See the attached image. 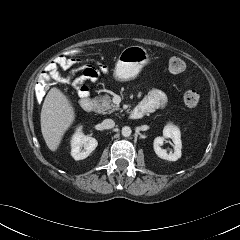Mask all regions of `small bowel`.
I'll use <instances>...</instances> for the list:
<instances>
[{
  "mask_svg": "<svg viewBox=\"0 0 240 240\" xmlns=\"http://www.w3.org/2000/svg\"><path fill=\"white\" fill-rule=\"evenodd\" d=\"M60 69H66V66L60 63L56 57L47 64L45 70L40 74L39 78L44 82L60 80ZM100 72L108 74L110 70L106 65L98 63L93 76L90 78L93 83L97 82ZM78 93L80 96L86 97L89 95V88L84 86L82 89H78ZM166 102V94L161 90L155 89L148 93V95L140 102L138 108L143 111L144 114L151 113L156 109L164 107Z\"/></svg>",
  "mask_w": 240,
  "mask_h": 240,
  "instance_id": "c3829d8e",
  "label": "small bowel"
}]
</instances>
